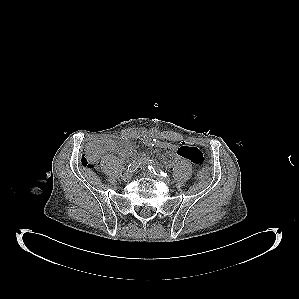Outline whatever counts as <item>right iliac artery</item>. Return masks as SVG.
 Segmentation results:
<instances>
[{
  "mask_svg": "<svg viewBox=\"0 0 299 299\" xmlns=\"http://www.w3.org/2000/svg\"><path fill=\"white\" fill-rule=\"evenodd\" d=\"M141 164V161H134L130 163L127 167V171L132 172L135 171Z\"/></svg>",
  "mask_w": 299,
  "mask_h": 299,
  "instance_id": "1",
  "label": "right iliac artery"
}]
</instances>
